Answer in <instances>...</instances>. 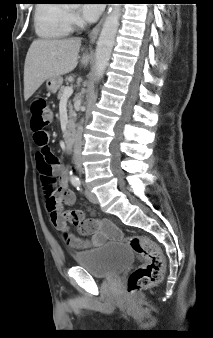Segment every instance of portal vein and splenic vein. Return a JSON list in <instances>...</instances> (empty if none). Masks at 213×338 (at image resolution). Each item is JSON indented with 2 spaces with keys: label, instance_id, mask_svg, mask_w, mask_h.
I'll list each match as a JSON object with an SVG mask.
<instances>
[{
  "label": "portal vein and splenic vein",
  "instance_id": "18ae733b",
  "mask_svg": "<svg viewBox=\"0 0 213 338\" xmlns=\"http://www.w3.org/2000/svg\"><path fill=\"white\" fill-rule=\"evenodd\" d=\"M73 94L72 87H65L62 99H68Z\"/></svg>",
  "mask_w": 213,
  "mask_h": 338
}]
</instances>
